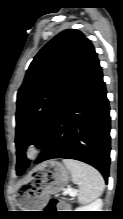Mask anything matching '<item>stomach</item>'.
Returning a JSON list of instances; mask_svg holds the SVG:
<instances>
[{"instance_id": "1", "label": "stomach", "mask_w": 123, "mask_h": 219, "mask_svg": "<svg viewBox=\"0 0 123 219\" xmlns=\"http://www.w3.org/2000/svg\"><path fill=\"white\" fill-rule=\"evenodd\" d=\"M70 179V171L56 160L38 165L28 180L21 184L16 198L22 211H39L48 202L51 195L64 189Z\"/></svg>"}]
</instances>
